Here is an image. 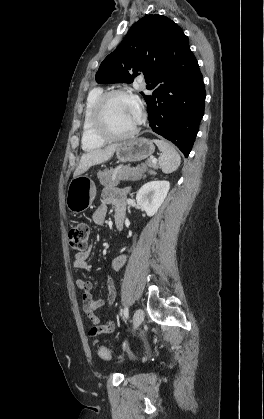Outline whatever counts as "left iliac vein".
Segmentation results:
<instances>
[{
	"instance_id": "left-iliac-vein-1",
	"label": "left iliac vein",
	"mask_w": 264,
	"mask_h": 419,
	"mask_svg": "<svg viewBox=\"0 0 264 419\" xmlns=\"http://www.w3.org/2000/svg\"><path fill=\"white\" fill-rule=\"evenodd\" d=\"M144 320V311L142 309H137L133 316V327L137 329L142 321Z\"/></svg>"
}]
</instances>
